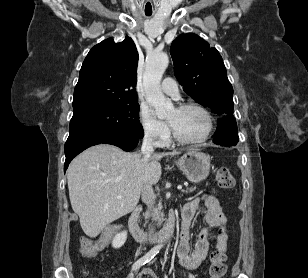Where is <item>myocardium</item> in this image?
<instances>
[{
  "mask_svg": "<svg viewBox=\"0 0 308 278\" xmlns=\"http://www.w3.org/2000/svg\"><path fill=\"white\" fill-rule=\"evenodd\" d=\"M197 109L200 112H202L204 114V116L206 117L207 120V129L206 132L204 133L203 136L199 137V138H186L181 136L179 133L176 132V130L171 126V131H172V135L173 138L178 141L179 143L182 144H199V143H203L205 141H207L209 139V137L211 136L213 129H214V118L212 113L203 105L196 103V102H186V103H182L180 104L177 109Z\"/></svg>",
  "mask_w": 308,
  "mask_h": 278,
  "instance_id": "f54148a6",
  "label": "myocardium"
}]
</instances>
